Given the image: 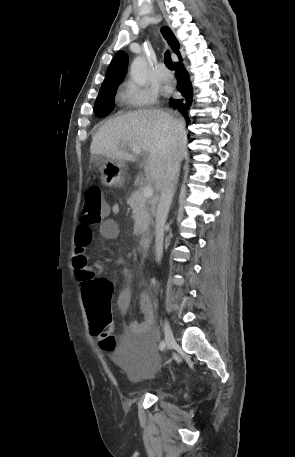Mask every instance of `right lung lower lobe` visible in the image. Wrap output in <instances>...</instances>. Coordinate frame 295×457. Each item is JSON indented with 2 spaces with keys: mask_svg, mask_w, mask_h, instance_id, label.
<instances>
[{
  "mask_svg": "<svg viewBox=\"0 0 295 457\" xmlns=\"http://www.w3.org/2000/svg\"><path fill=\"white\" fill-rule=\"evenodd\" d=\"M179 60L182 61V57L178 55ZM176 77H177V90L181 93V99H170L172 107L178 109L184 118L186 119L187 124L190 120L188 117V111L192 104L193 97V88L189 79L188 72L186 71L184 64L181 62L175 63Z\"/></svg>",
  "mask_w": 295,
  "mask_h": 457,
  "instance_id": "right-lung-lower-lobe-1",
  "label": "right lung lower lobe"
}]
</instances>
